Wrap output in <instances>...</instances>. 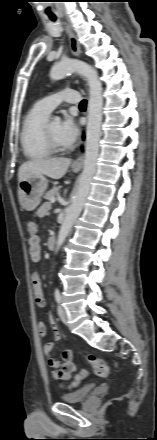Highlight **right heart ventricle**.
<instances>
[{"mask_svg":"<svg viewBox=\"0 0 157 440\" xmlns=\"http://www.w3.org/2000/svg\"><path fill=\"white\" fill-rule=\"evenodd\" d=\"M47 118L48 115L36 106L31 108L24 117L20 139L23 152L29 158H43L52 154L43 136V127Z\"/></svg>","mask_w":157,"mask_h":440,"instance_id":"obj_1","label":"right heart ventricle"}]
</instances>
